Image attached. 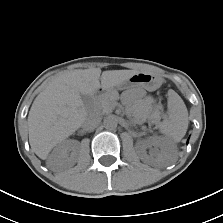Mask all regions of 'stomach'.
Wrapping results in <instances>:
<instances>
[{"label":"stomach","instance_id":"0dacf381","mask_svg":"<svg viewBox=\"0 0 223 223\" xmlns=\"http://www.w3.org/2000/svg\"><path fill=\"white\" fill-rule=\"evenodd\" d=\"M162 85V79L156 75L138 72L131 76L125 83H122L116 88L118 90L142 88L147 91H154Z\"/></svg>","mask_w":223,"mask_h":223}]
</instances>
